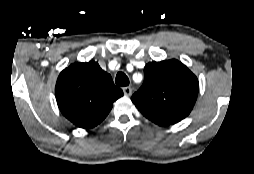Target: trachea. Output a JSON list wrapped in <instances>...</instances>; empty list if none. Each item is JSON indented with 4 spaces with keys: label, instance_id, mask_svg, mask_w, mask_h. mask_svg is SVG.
I'll list each match as a JSON object with an SVG mask.
<instances>
[{
    "label": "trachea",
    "instance_id": "trachea-1",
    "mask_svg": "<svg viewBox=\"0 0 254 174\" xmlns=\"http://www.w3.org/2000/svg\"><path fill=\"white\" fill-rule=\"evenodd\" d=\"M115 82L118 86H128L129 85V79H128L127 75L123 72L117 73Z\"/></svg>",
    "mask_w": 254,
    "mask_h": 174
}]
</instances>
